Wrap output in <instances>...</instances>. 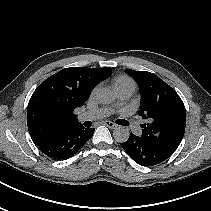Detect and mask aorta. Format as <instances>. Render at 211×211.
<instances>
[{
    "label": "aorta",
    "instance_id": "aorta-1",
    "mask_svg": "<svg viewBox=\"0 0 211 211\" xmlns=\"http://www.w3.org/2000/svg\"><path fill=\"white\" fill-rule=\"evenodd\" d=\"M115 95L109 89H102L97 93V100L102 104H109L113 102ZM130 136L129 129L124 126H119L114 129L113 137L117 142L123 143L128 140Z\"/></svg>",
    "mask_w": 211,
    "mask_h": 211
}]
</instances>
